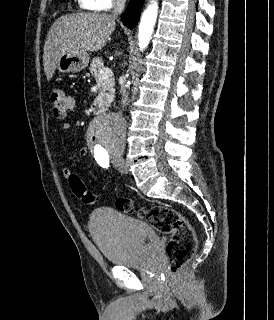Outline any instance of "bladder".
Listing matches in <instances>:
<instances>
[{
    "label": "bladder",
    "mask_w": 274,
    "mask_h": 320,
    "mask_svg": "<svg viewBox=\"0 0 274 320\" xmlns=\"http://www.w3.org/2000/svg\"><path fill=\"white\" fill-rule=\"evenodd\" d=\"M88 229L104 259L117 266L146 263L155 256L160 243L152 226L112 208L94 210Z\"/></svg>",
    "instance_id": "obj_1"
}]
</instances>
